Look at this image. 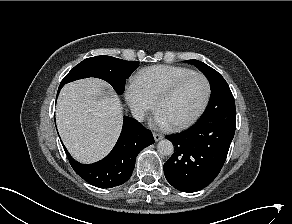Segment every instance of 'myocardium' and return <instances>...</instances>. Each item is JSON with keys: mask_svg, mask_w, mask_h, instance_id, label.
<instances>
[{"mask_svg": "<svg viewBox=\"0 0 292 224\" xmlns=\"http://www.w3.org/2000/svg\"><path fill=\"white\" fill-rule=\"evenodd\" d=\"M194 77H199L203 79V81L205 82L206 94H205L204 101L202 105L200 106V108L198 109V111L190 119L182 123L170 125L171 129L174 131H180V130H184L190 127L204 114V112L206 111L209 105L211 94H212V87H211V83L209 79L207 78L206 75L200 72H193V73L187 74L179 78L174 83H172L169 87L163 90L155 100V109L158 110L162 102L172 97L187 81H189L190 79Z\"/></svg>", "mask_w": 292, "mask_h": 224, "instance_id": "obj_1", "label": "myocardium"}]
</instances>
